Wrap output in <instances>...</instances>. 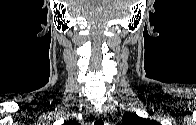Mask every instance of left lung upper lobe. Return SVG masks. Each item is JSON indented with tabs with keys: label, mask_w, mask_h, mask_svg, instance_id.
<instances>
[{
	"label": "left lung upper lobe",
	"mask_w": 196,
	"mask_h": 125,
	"mask_svg": "<svg viewBox=\"0 0 196 125\" xmlns=\"http://www.w3.org/2000/svg\"><path fill=\"white\" fill-rule=\"evenodd\" d=\"M155 121L139 117L136 113H130L123 117L122 125H154Z\"/></svg>",
	"instance_id": "left-lung-upper-lobe-1"
}]
</instances>
